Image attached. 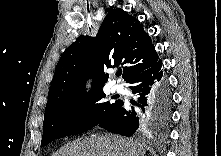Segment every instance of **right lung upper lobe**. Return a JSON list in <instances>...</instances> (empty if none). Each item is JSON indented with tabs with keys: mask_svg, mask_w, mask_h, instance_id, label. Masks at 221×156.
Instances as JSON below:
<instances>
[{
	"mask_svg": "<svg viewBox=\"0 0 221 156\" xmlns=\"http://www.w3.org/2000/svg\"><path fill=\"white\" fill-rule=\"evenodd\" d=\"M158 54L148 33L137 18L117 8L104 18L96 37L80 36L62 54L51 82L46 108L65 95L85 90L92 78V89H102L108 75L104 68L123 67V78L150 68Z\"/></svg>",
	"mask_w": 221,
	"mask_h": 156,
	"instance_id": "1",
	"label": "right lung upper lobe"
}]
</instances>
